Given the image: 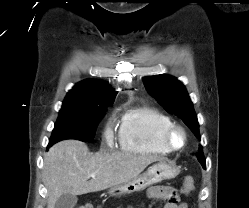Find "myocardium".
Returning <instances> with one entry per match:
<instances>
[{"label": "myocardium", "instance_id": "obj_1", "mask_svg": "<svg viewBox=\"0 0 249 208\" xmlns=\"http://www.w3.org/2000/svg\"><path fill=\"white\" fill-rule=\"evenodd\" d=\"M180 133L182 135L181 144L177 145L173 142L175 134ZM162 142L170 151L182 150L187 145L188 135L184 127L179 124H172L167 127L162 133Z\"/></svg>", "mask_w": 249, "mask_h": 208}]
</instances>
